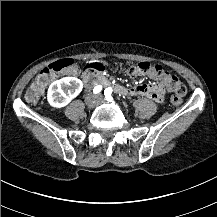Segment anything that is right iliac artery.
Listing matches in <instances>:
<instances>
[{
  "label": "right iliac artery",
  "mask_w": 217,
  "mask_h": 217,
  "mask_svg": "<svg viewBox=\"0 0 217 217\" xmlns=\"http://www.w3.org/2000/svg\"><path fill=\"white\" fill-rule=\"evenodd\" d=\"M101 90H102V87H101V86H96V87L93 89V92H94V94H97V93L101 92Z\"/></svg>",
  "instance_id": "right-iliac-artery-1"
}]
</instances>
